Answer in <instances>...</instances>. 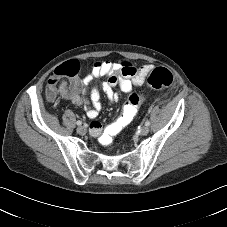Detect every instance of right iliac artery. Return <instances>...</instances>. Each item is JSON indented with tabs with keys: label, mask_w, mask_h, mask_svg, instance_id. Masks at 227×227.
<instances>
[{
	"label": "right iliac artery",
	"mask_w": 227,
	"mask_h": 227,
	"mask_svg": "<svg viewBox=\"0 0 227 227\" xmlns=\"http://www.w3.org/2000/svg\"><path fill=\"white\" fill-rule=\"evenodd\" d=\"M76 123H77V125H79V126L82 125V122H81L80 120H78Z\"/></svg>",
	"instance_id": "1"
}]
</instances>
